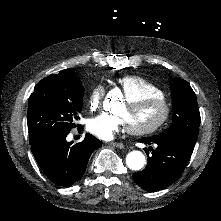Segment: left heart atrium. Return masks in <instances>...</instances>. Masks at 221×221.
<instances>
[{
    "mask_svg": "<svg viewBox=\"0 0 221 221\" xmlns=\"http://www.w3.org/2000/svg\"><path fill=\"white\" fill-rule=\"evenodd\" d=\"M122 128L123 121L114 112H107L101 117L91 119L88 123V129L91 133L106 140H113Z\"/></svg>",
    "mask_w": 221,
    "mask_h": 221,
    "instance_id": "1",
    "label": "left heart atrium"
}]
</instances>
